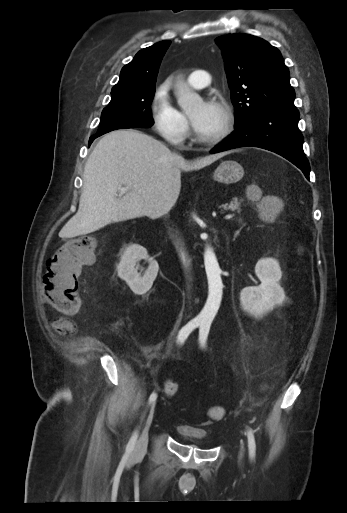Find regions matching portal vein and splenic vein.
Instances as JSON below:
<instances>
[{
	"label": "portal vein and splenic vein",
	"instance_id": "portal-vein-and-splenic-vein-1",
	"mask_svg": "<svg viewBox=\"0 0 347 513\" xmlns=\"http://www.w3.org/2000/svg\"><path fill=\"white\" fill-rule=\"evenodd\" d=\"M118 189H119V191H120V192H122V193H123V192H125V191H127V190H128V187H120V188H118ZM231 218H232V216H231V215H226V216H225V219H226V220H229V219H231Z\"/></svg>",
	"mask_w": 347,
	"mask_h": 513
}]
</instances>
